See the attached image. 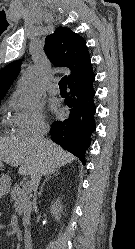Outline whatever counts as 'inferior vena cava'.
Listing matches in <instances>:
<instances>
[{
  "instance_id": "602c4592",
  "label": "inferior vena cava",
  "mask_w": 135,
  "mask_h": 249,
  "mask_svg": "<svg viewBox=\"0 0 135 249\" xmlns=\"http://www.w3.org/2000/svg\"><path fill=\"white\" fill-rule=\"evenodd\" d=\"M47 132H48V127L43 126L42 129L35 135V137H34L35 140L39 141V142H44L45 141L44 135L47 134ZM40 178H41L40 175H36V176H33L31 178V187H32V190L34 192V195H33V206L34 207L36 206V192H37Z\"/></svg>"
}]
</instances>
